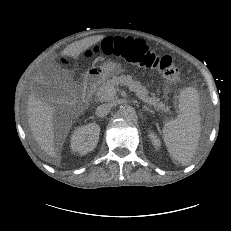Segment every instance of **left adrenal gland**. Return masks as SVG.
<instances>
[{
    "label": "left adrenal gland",
    "instance_id": "left-adrenal-gland-1",
    "mask_svg": "<svg viewBox=\"0 0 231 231\" xmlns=\"http://www.w3.org/2000/svg\"><path fill=\"white\" fill-rule=\"evenodd\" d=\"M143 109H144L145 111H148V112H150V113H153V111H152L151 109H149L147 106H143Z\"/></svg>",
    "mask_w": 231,
    "mask_h": 231
}]
</instances>
